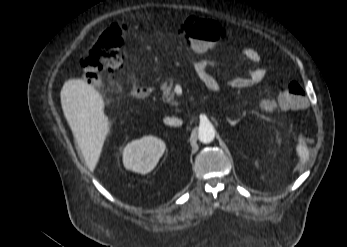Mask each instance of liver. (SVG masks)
Returning <instances> with one entry per match:
<instances>
[{"mask_svg":"<svg viewBox=\"0 0 347 247\" xmlns=\"http://www.w3.org/2000/svg\"><path fill=\"white\" fill-rule=\"evenodd\" d=\"M61 105L86 165L94 171L111 126L103 96L83 79L71 78L62 87Z\"/></svg>","mask_w":347,"mask_h":247,"instance_id":"liver-1","label":"liver"}]
</instances>
